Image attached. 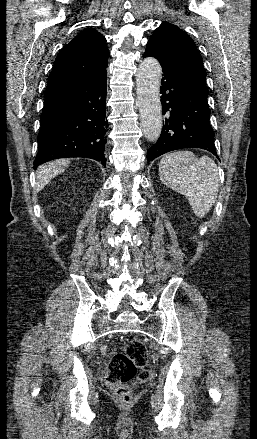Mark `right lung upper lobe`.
Returning <instances> with one entry per match:
<instances>
[{
  "label": "right lung upper lobe",
  "mask_w": 257,
  "mask_h": 439,
  "mask_svg": "<svg viewBox=\"0 0 257 439\" xmlns=\"http://www.w3.org/2000/svg\"><path fill=\"white\" fill-rule=\"evenodd\" d=\"M109 55L102 34L94 29L81 31L56 57L44 96L99 77L107 68Z\"/></svg>",
  "instance_id": "obj_1"
}]
</instances>
